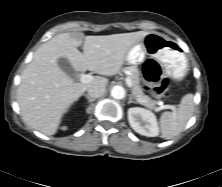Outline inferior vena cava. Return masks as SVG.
<instances>
[{
	"instance_id": "1",
	"label": "inferior vena cava",
	"mask_w": 222,
	"mask_h": 187,
	"mask_svg": "<svg viewBox=\"0 0 222 187\" xmlns=\"http://www.w3.org/2000/svg\"><path fill=\"white\" fill-rule=\"evenodd\" d=\"M105 86L94 85L88 88V95L92 98H99L105 93Z\"/></svg>"
}]
</instances>
